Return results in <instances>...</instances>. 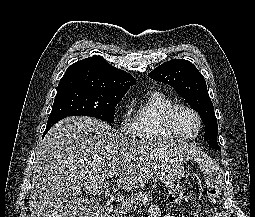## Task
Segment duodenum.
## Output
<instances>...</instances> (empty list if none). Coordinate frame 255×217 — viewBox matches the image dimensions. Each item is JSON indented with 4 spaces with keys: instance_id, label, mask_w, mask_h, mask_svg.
<instances>
[{
    "instance_id": "410a0bca",
    "label": "duodenum",
    "mask_w": 255,
    "mask_h": 217,
    "mask_svg": "<svg viewBox=\"0 0 255 217\" xmlns=\"http://www.w3.org/2000/svg\"><path fill=\"white\" fill-rule=\"evenodd\" d=\"M109 215H110V207L105 205L101 206L95 212V217H109Z\"/></svg>"
}]
</instances>
